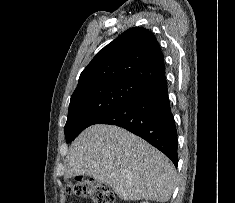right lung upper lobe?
Masks as SVG:
<instances>
[{
	"label": "right lung upper lobe",
	"instance_id": "right-lung-upper-lobe-1",
	"mask_svg": "<svg viewBox=\"0 0 235 203\" xmlns=\"http://www.w3.org/2000/svg\"><path fill=\"white\" fill-rule=\"evenodd\" d=\"M164 76V56L154 34L133 27L92 59L80 74L75 91L107 81H131L147 86Z\"/></svg>",
	"mask_w": 235,
	"mask_h": 203
}]
</instances>
